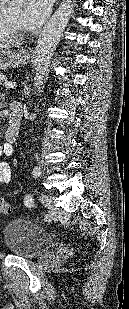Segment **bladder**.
<instances>
[{
    "label": "bladder",
    "instance_id": "31cf9c89",
    "mask_svg": "<svg viewBox=\"0 0 129 309\" xmlns=\"http://www.w3.org/2000/svg\"><path fill=\"white\" fill-rule=\"evenodd\" d=\"M5 247L14 255L31 258L50 248L54 241L52 236L38 224L15 219L3 229Z\"/></svg>",
    "mask_w": 129,
    "mask_h": 309
}]
</instances>
